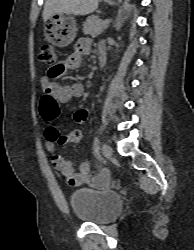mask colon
<instances>
[{"label": "colon", "mask_w": 194, "mask_h": 250, "mask_svg": "<svg viewBox=\"0 0 194 250\" xmlns=\"http://www.w3.org/2000/svg\"><path fill=\"white\" fill-rule=\"evenodd\" d=\"M39 59L41 63L50 67L51 76H55V67L58 64V56L54 47L50 44L42 45L40 48ZM40 109L44 120H54L59 112L57 100L49 92H46L41 96ZM67 137L79 139L81 136L79 132H74Z\"/></svg>", "instance_id": "5ec220e1"}]
</instances>
